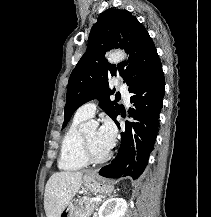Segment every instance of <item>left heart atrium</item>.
Here are the masks:
<instances>
[{"label":"left heart atrium","instance_id":"39dd6f15","mask_svg":"<svg viewBox=\"0 0 211 217\" xmlns=\"http://www.w3.org/2000/svg\"><path fill=\"white\" fill-rule=\"evenodd\" d=\"M116 130L113 123L106 120L97 131L98 141L106 149H111L115 143Z\"/></svg>","mask_w":211,"mask_h":217}]
</instances>
